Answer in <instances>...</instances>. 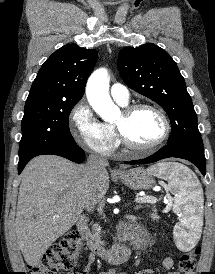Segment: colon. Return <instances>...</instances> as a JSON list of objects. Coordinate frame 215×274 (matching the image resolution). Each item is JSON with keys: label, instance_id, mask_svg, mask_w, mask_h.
Wrapping results in <instances>:
<instances>
[{"label": "colon", "instance_id": "1", "mask_svg": "<svg viewBox=\"0 0 215 274\" xmlns=\"http://www.w3.org/2000/svg\"><path fill=\"white\" fill-rule=\"evenodd\" d=\"M81 248V234L73 230L50 247L36 264L30 266V272L31 274H61L62 271H68L74 267ZM199 253L200 247H196L180 257V273H194Z\"/></svg>", "mask_w": 215, "mask_h": 274}]
</instances>
